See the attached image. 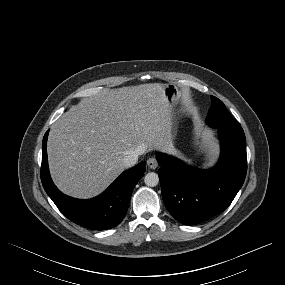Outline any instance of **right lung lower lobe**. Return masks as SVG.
Returning <instances> with one entry per match:
<instances>
[{"label":"right lung lower lobe","mask_w":285,"mask_h":285,"mask_svg":"<svg viewBox=\"0 0 285 285\" xmlns=\"http://www.w3.org/2000/svg\"><path fill=\"white\" fill-rule=\"evenodd\" d=\"M48 131L42 142V185L58 209L72 222L83 227L104 230L117 226L124 218L132 191L136 183L143 177L146 162L124 171L102 194L81 200L64 195L51 180L47 162Z\"/></svg>","instance_id":"obj_1"}]
</instances>
